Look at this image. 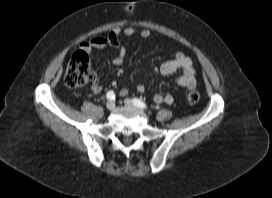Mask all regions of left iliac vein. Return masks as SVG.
Instances as JSON below:
<instances>
[{
  "instance_id": "4c4485c4",
  "label": "left iliac vein",
  "mask_w": 272,
  "mask_h": 198,
  "mask_svg": "<svg viewBox=\"0 0 272 198\" xmlns=\"http://www.w3.org/2000/svg\"><path fill=\"white\" fill-rule=\"evenodd\" d=\"M124 103H125L127 106H129V107L136 108L134 102H133L131 99H128V98L125 99V100H124Z\"/></svg>"
}]
</instances>
